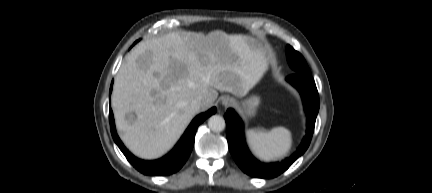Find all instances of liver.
Masks as SVG:
<instances>
[{
  "label": "liver",
  "instance_id": "obj_1",
  "mask_svg": "<svg viewBox=\"0 0 432 193\" xmlns=\"http://www.w3.org/2000/svg\"><path fill=\"white\" fill-rule=\"evenodd\" d=\"M269 56L247 35L177 31L139 43L124 59L111 104L116 128L136 156L155 159L180 138L217 91L245 96L264 76ZM202 99L198 111L191 102ZM136 119L130 123L128 113Z\"/></svg>",
  "mask_w": 432,
  "mask_h": 193
}]
</instances>
